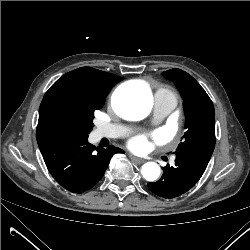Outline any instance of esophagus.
<instances>
[{"instance_id": "esophagus-1", "label": "esophagus", "mask_w": 250, "mask_h": 250, "mask_svg": "<svg viewBox=\"0 0 250 250\" xmlns=\"http://www.w3.org/2000/svg\"><path fill=\"white\" fill-rule=\"evenodd\" d=\"M130 158H131L132 161H133L134 163H136V164H142V163L144 162L143 159H140V158L135 157V156H133V155H130Z\"/></svg>"}]
</instances>
